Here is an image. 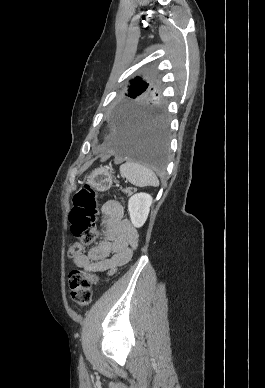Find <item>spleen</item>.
Here are the masks:
<instances>
[{
	"label": "spleen",
	"mask_w": 265,
	"mask_h": 388,
	"mask_svg": "<svg viewBox=\"0 0 265 388\" xmlns=\"http://www.w3.org/2000/svg\"><path fill=\"white\" fill-rule=\"evenodd\" d=\"M120 174L122 178H127L130 184L133 186H158V178H156L154 172L141 166V164H134V162H125L120 166Z\"/></svg>",
	"instance_id": "obj_1"
}]
</instances>
